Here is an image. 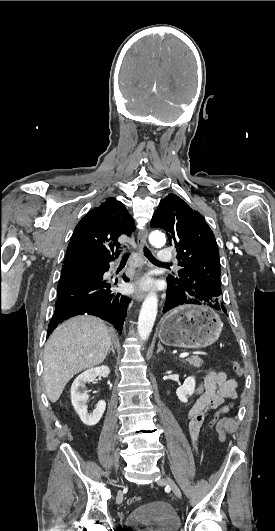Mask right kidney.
I'll list each match as a JSON object with an SVG mask.
<instances>
[{"mask_svg":"<svg viewBox=\"0 0 275 531\" xmlns=\"http://www.w3.org/2000/svg\"><path fill=\"white\" fill-rule=\"evenodd\" d=\"M109 373L110 369L109 367H106V365H102V367H94V369H88V371H84V373L78 375L71 385L70 393L72 405L82 423L88 425V427H93V425L99 423L106 409V403L105 401H99L93 413H88L86 403L89 399V395H87L85 391V383H93L96 377H108Z\"/></svg>","mask_w":275,"mask_h":531,"instance_id":"obj_1","label":"right kidney"}]
</instances>
